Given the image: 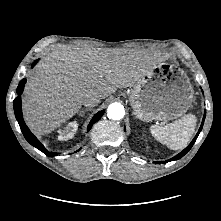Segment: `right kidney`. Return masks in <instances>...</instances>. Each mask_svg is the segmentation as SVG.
Masks as SVG:
<instances>
[{
	"label": "right kidney",
	"mask_w": 221,
	"mask_h": 221,
	"mask_svg": "<svg viewBox=\"0 0 221 221\" xmlns=\"http://www.w3.org/2000/svg\"><path fill=\"white\" fill-rule=\"evenodd\" d=\"M78 129V124L76 121L70 122L63 130H59V139L68 140L74 137Z\"/></svg>",
	"instance_id": "1"
}]
</instances>
